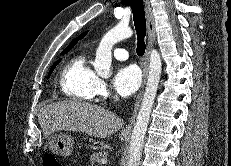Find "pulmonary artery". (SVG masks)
Masks as SVG:
<instances>
[{"label":"pulmonary artery","instance_id":"obj_1","mask_svg":"<svg viewBox=\"0 0 231 166\" xmlns=\"http://www.w3.org/2000/svg\"><path fill=\"white\" fill-rule=\"evenodd\" d=\"M113 55L118 60H126L128 58V52L124 48H115L113 50Z\"/></svg>","mask_w":231,"mask_h":166}]
</instances>
